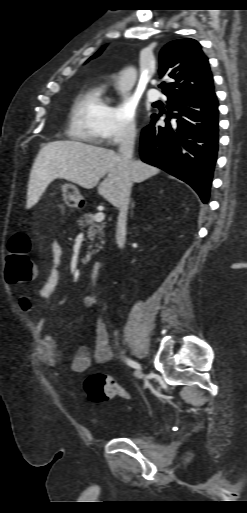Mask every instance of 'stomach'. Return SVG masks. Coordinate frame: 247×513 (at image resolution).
Returning a JSON list of instances; mask_svg holds the SVG:
<instances>
[{
  "mask_svg": "<svg viewBox=\"0 0 247 513\" xmlns=\"http://www.w3.org/2000/svg\"><path fill=\"white\" fill-rule=\"evenodd\" d=\"M64 200L68 206L78 208L84 198L80 195L78 188L73 184L64 185Z\"/></svg>",
  "mask_w": 247,
  "mask_h": 513,
  "instance_id": "0dacf381",
  "label": "stomach"
}]
</instances>
